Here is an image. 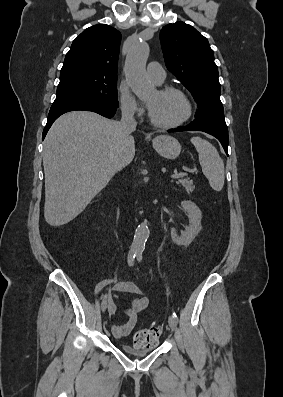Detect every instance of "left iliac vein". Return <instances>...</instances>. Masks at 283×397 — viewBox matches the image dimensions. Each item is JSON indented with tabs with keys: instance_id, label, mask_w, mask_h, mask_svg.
Returning <instances> with one entry per match:
<instances>
[{
	"instance_id": "left-iliac-vein-1",
	"label": "left iliac vein",
	"mask_w": 283,
	"mask_h": 397,
	"mask_svg": "<svg viewBox=\"0 0 283 397\" xmlns=\"http://www.w3.org/2000/svg\"><path fill=\"white\" fill-rule=\"evenodd\" d=\"M168 323L170 328L174 331L177 327V321L173 315L169 316Z\"/></svg>"
}]
</instances>
